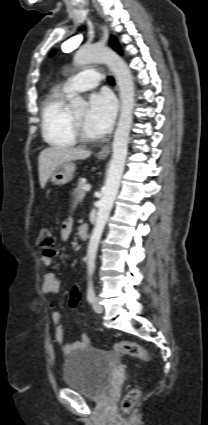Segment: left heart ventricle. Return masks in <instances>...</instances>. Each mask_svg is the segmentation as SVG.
<instances>
[{
  "label": "left heart ventricle",
  "mask_w": 208,
  "mask_h": 425,
  "mask_svg": "<svg viewBox=\"0 0 208 425\" xmlns=\"http://www.w3.org/2000/svg\"><path fill=\"white\" fill-rule=\"evenodd\" d=\"M74 114V116L80 121V123H81V125H82V128H83V130H84V132L88 135V136H90V137H94V135L93 134H91L87 129H86V127H85V122H84V120H85V115H86V113H85V111H79V112H75V113H73Z\"/></svg>",
  "instance_id": "left-heart-ventricle-1"
}]
</instances>
